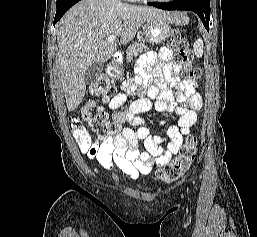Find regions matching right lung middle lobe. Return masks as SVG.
Here are the masks:
<instances>
[{"label": "right lung middle lobe", "mask_w": 257, "mask_h": 237, "mask_svg": "<svg viewBox=\"0 0 257 237\" xmlns=\"http://www.w3.org/2000/svg\"><path fill=\"white\" fill-rule=\"evenodd\" d=\"M66 1H68V0H57L56 5H60V4L64 3V2H66Z\"/></svg>", "instance_id": "obj_1"}]
</instances>
